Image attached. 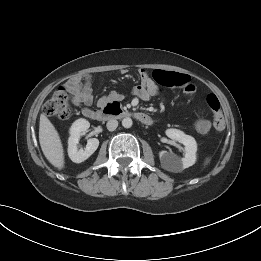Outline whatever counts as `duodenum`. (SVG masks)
Here are the masks:
<instances>
[{"label":"duodenum","mask_w":261,"mask_h":261,"mask_svg":"<svg viewBox=\"0 0 261 261\" xmlns=\"http://www.w3.org/2000/svg\"><path fill=\"white\" fill-rule=\"evenodd\" d=\"M131 116L135 117L144 124H151L152 122L150 117L143 113H131L123 109L120 103L117 101L109 102L102 109L91 110L87 113V117L98 120L112 117L125 118Z\"/></svg>","instance_id":"obj_1"}]
</instances>
